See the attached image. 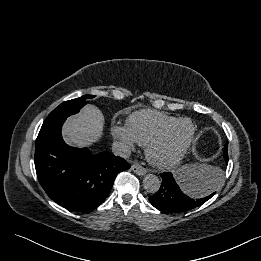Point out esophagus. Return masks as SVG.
Wrapping results in <instances>:
<instances>
[{"instance_id":"esophagus-1","label":"esophagus","mask_w":261,"mask_h":261,"mask_svg":"<svg viewBox=\"0 0 261 261\" xmlns=\"http://www.w3.org/2000/svg\"><path fill=\"white\" fill-rule=\"evenodd\" d=\"M131 170L135 174L140 175V176L145 175L147 173V170L138 163L133 164L131 166Z\"/></svg>"}]
</instances>
